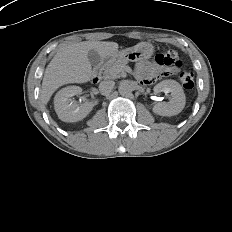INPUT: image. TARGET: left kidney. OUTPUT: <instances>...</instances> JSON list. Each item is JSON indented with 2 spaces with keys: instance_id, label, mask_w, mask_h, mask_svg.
Returning a JSON list of instances; mask_svg holds the SVG:
<instances>
[{
  "instance_id": "left-kidney-1",
  "label": "left kidney",
  "mask_w": 232,
  "mask_h": 232,
  "mask_svg": "<svg viewBox=\"0 0 232 232\" xmlns=\"http://www.w3.org/2000/svg\"><path fill=\"white\" fill-rule=\"evenodd\" d=\"M171 93L169 102H159L153 107V112L160 116H174L185 107L186 97L181 85L175 80H163L154 86V93Z\"/></svg>"
}]
</instances>
